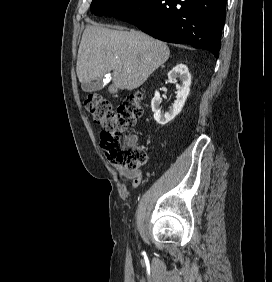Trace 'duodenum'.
I'll return each mask as SVG.
<instances>
[{"instance_id":"410a0bca","label":"duodenum","mask_w":272,"mask_h":282,"mask_svg":"<svg viewBox=\"0 0 272 282\" xmlns=\"http://www.w3.org/2000/svg\"><path fill=\"white\" fill-rule=\"evenodd\" d=\"M111 90H112L113 93H117L119 91V89L117 87H112Z\"/></svg>"}]
</instances>
